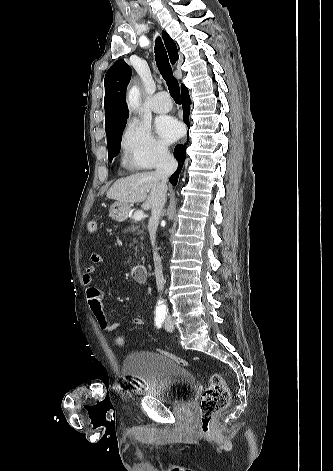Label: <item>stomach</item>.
I'll list each match as a JSON object with an SVG mask.
<instances>
[{"instance_id": "1", "label": "stomach", "mask_w": 333, "mask_h": 471, "mask_svg": "<svg viewBox=\"0 0 333 471\" xmlns=\"http://www.w3.org/2000/svg\"><path fill=\"white\" fill-rule=\"evenodd\" d=\"M129 210L130 206L128 204L117 201L111 205L109 215L113 220L121 222L127 218Z\"/></svg>"}]
</instances>
